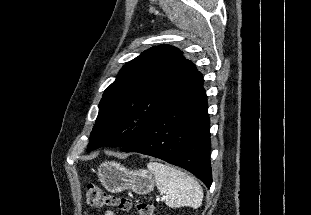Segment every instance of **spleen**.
<instances>
[{"mask_svg": "<svg viewBox=\"0 0 311 215\" xmlns=\"http://www.w3.org/2000/svg\"><path fill=\"white\" fill-rule=\"evenodd\" d=\"M148 170L153 174L157 189L166 195L165 203L171 208L197 209L203 200V189L187 173L159 162H150Z\"/></svg>", "mask_w": 311, "mask_h": 215, "instance_id": "1", "label": "spleen"}]
</instances>
